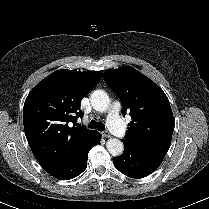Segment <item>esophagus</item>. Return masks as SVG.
I'll return each mask as SVG.
<instances>
[{"instance_id": "esophagus-1", "label": "esophagus", "mask_w": 209, "mask_h": 209, "mask_svg": "<svg viewBox=\"0 0 209 209\" xmlns=\"http://www.w3.org/2000/svg\"><path fill=\"white\" fill-rule=\"evenodd\" d=\"M101 135L103 138H110L111 137V134L108 131L101 132Z\"/></svg>"}]
</instances>
